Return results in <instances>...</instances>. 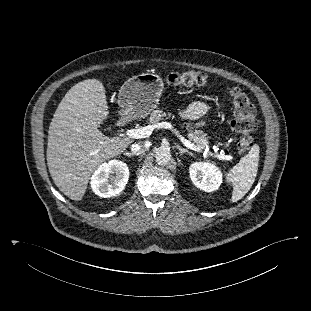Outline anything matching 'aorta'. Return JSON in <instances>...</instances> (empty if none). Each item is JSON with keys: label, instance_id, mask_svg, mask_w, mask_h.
<instances>
[{"label": "aorta", "instance_id": "1", "mask_svg": "<svg viewBox=\"0 0 311 311\" xmlns=\"http://www.w3.org/2000/svg\"><path fill=\"white\" fill-rule=\"evenodd\" d=\"M155 158H156V162L159 165L167 164L171 159L170 150L167 148L158 149V151L156 152Z\"/></svg>", "mask_w": 311, "mask_h": 311}]
</instances>
